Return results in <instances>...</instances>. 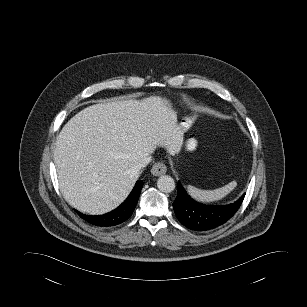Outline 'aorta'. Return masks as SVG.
<instances>
[{
  "instance_id": "obj_1",
  "label": "aorta",
  "mask_w": 307,
  "mask_h": 307,
  "mask_svg": "<svg viewBox=\"0 0 307 307\" xmlns=\"http://www.w3.org/2000/svg\"><path fill=\"white\" fill-rule=\"evenodd\" d=\"M157 187L163 193H170L175 189V181L171 176L162 175L157 180Z\"/></svg>"
}]
</instances>
